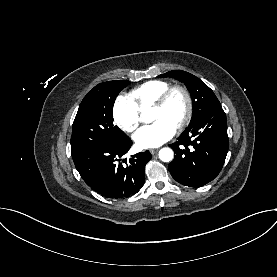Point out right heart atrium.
<instances>
[{"label": "right heart atrium", "mask_w": 277, "mask_h": 277, "mask_svg": "<svg viewBox=\"0 0 277 277\" xmlns=\"http://www.w3.org/2000/svg\"><path fill=\"white\" fill-rule=\"evenodd\" d=\"M112 115L115 123L126 132H133L139 122V109L132 99L125 94L119 95L113 104Z\"/></svg>", "instance_id": "obj_1"}]
</instances>
